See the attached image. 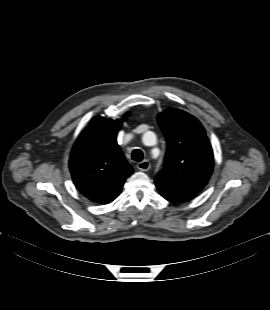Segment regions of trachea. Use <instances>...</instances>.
Returning a JSON list of instances; mask_svg holds the SVG:
<instances>
[{"label":"trachea","instance_id":"1","mask_svg":"<svg viewBox=\"0 0 270 310\" xmlns=\"http://www.w3.org/2000/svg\"><path fill=\"white\" fill-rule=\"evenodd\" d=\"M132 159L134 161L140 162L143 159V152L140 149H134L132 151Z\"/></svg>","mask_w":270,"mask_h":310}]
</instances>
